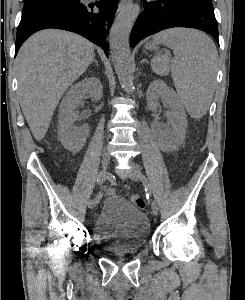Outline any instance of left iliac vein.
Segmentation results:
<instances>
[{
	"instance_id": "4c4485c4",
	"label": "left iliac vein",
	"mask_w": 245,
	"mask_h": 300,
	"mask_svg": "<svg viewBox=\"0 0 245 300\" xmlns=\"http://www.w3.org/2000/svg\"><path fill=\"white\" fill-rule=\"evenodd\" d=\"M131 166H132V169L130 172V178L134 181H143L144 175H143L141 169L139 168V166L135 163H132ZM151 210H152L153 215H155V216L158 215V206L155 201H153L151 203Z\"/></svg>"
}]
</instances>
